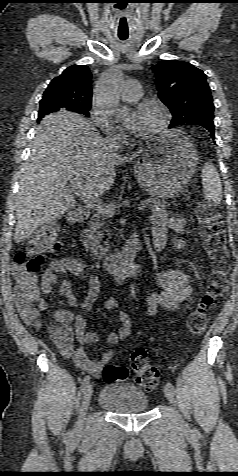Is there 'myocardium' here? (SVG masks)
Wrapping results in <instances>:
<instances>
[{"instance_id": "f54148a6", "label": "myocardium", "mask_w": 238, "mask_h": 476, "mask_svg": "<svg viewBox=\"0 0 238 476\" xmlns=\"http://www.w3.org/2000/svg\"><path fill=\"white\" fill-rule=\"evenodd\" d=\"M140 108H144V107H152L154 109H156L159 114H160V122L159 124L153 129L151 130L148 134H146L143 139L144 140H149V139H152L153 137L161 134L168 126L169 124V121H170V113H169V110L168 108L158 102V101H154V100H148V101H143L140 103Z\"/></svg>"}]
</instances>
